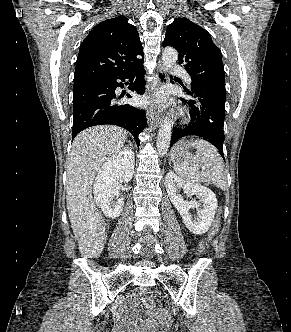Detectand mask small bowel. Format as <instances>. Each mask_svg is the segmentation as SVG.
<instances>
[{"label": "small bowel", "instance_id": "small-bowel-1", "mask_svg": "<svg viewBox=\"0 0 291 332\" xmlns=\"http://www.w3.org/2000/svg\"><path fill=\"white\" fill-rule=\"evenodd\" d=\"M146 300H150L152 302V307L147 308V313L149 317L142 322V325L146 328L161 327L168 320V314L163 310H158L155 307L154 302L148 297H144L142 299L144 304ZM123 325L125 327L129 326L127 322H125Z\"/></svg>", "mask_w": 291, "mask_h": 332}]
</instances>
